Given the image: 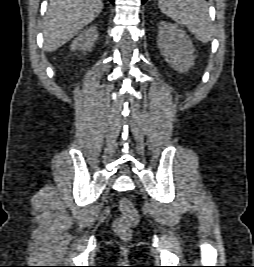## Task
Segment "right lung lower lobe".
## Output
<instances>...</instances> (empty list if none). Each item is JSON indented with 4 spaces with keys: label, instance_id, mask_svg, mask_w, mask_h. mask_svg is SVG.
Masks as SVG:
<instances>
[{
    "label": "right lung lower lobe",
    "instance_id": "98d812e1",
    "mask_svg": "<svg viewBox=\"0 0 254 267\" xmlns=\"http://www.w3.org/2000/svg\"><path fill=\"white\" fill-rule=\"evenodd\" d=\"M112 4H114V0H109Z\"/></svg>",
    "mask_w": 254,
    "mask_h": 267
}]
</instances>
